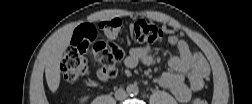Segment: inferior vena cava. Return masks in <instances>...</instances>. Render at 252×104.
Returning a JSON list of instances; mask_svg holds the SVG:
<instances>
[{"mask_svg": "<svg viewBox=\"0 0 252 104\" xmlns=\"http://www.w3.org/2000/svg\"><path fill=\"white\" fill-rule=\"evenodd\" d=\"M114 95H115V98L120 101L125 100L127 98L126 91L121 88L116 90Z\"/></svg>", "mask_w": 252, "mask_h": 104, "instance_id": "1", "label": "inferior vena cava"}]
</instances>
